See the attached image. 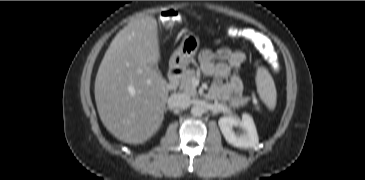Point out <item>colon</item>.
I'll use <instances>...</instances> for the list:
<instances>
[{
	"label": "colon",
	"mask_w": 365,
	"mask_h": 180,
	"mask_svg": "<svg viewBox=\"0 0 365 180\" xmlns=\"http://www.w3.org/2000/svg\"><path fill=\"white\" fill-rule=\"evenodd\" d=\"M182 22V16L178 11L167 10L162 13L161 26L165 28L176 27ZM235 35L242 39H250L252 32L248 29H240L235 31Z\"/></svg>",
	"instance_id": "5ec220e1"
}]
</instances>
